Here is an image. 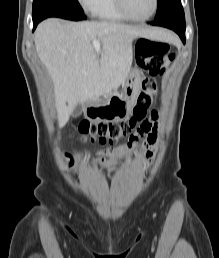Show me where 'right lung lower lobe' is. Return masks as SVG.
Instances as JSON below:
<instances>
[{"label": "right lung lower lobe", "mask_w": 219, "mask_h": 258, "mask_svg": "<svg viewBox=\"0 0 219 258\" xmlns=\"http://www.w3.org/2000/svg\"><path fill=\"white\" fill-rule=\"evenodd\" d=\"M48 17H60V18L68 19V20H74V21L86 19V16L84 14H77L74 12L58 9V10H54V11L47 13L46 16H44L43 18H40L38 20H33L34 29L36 28L37 24L40 21H42L43 19L48 18Z\"/></svg>", "instance_id": "obj_1"}]
</instances>
